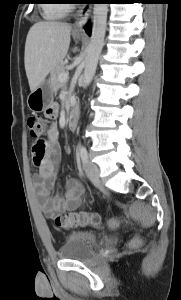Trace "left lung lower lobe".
Instances as JSON below:
<instances>
[{"label": "left lung lower lobe", "instance_id": "1", "mask_svg": "<svg viewBox=\"0 0 181 300\" xmlns=\"http://www.w3.org/2000/svg\"><path fill=\"white\" fill-rule=\"evenodd\" d=\"M86 32H87L88 34H90V30H89L88 28H86Z\"/></svg>", "mask_w": 181, "mask_h": 300}]
</instances>
